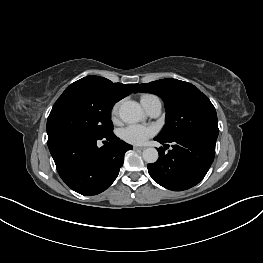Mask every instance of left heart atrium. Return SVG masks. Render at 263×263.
Wrapping results in <instances>:
<instances>
[{"instance_id": "left-heart-atrium-1", "label": "left heart atrium", "mask_w": 263, "mask_h": 263, "mask_svg": "<svg viewBox=\"0 0 263 263\" xmlns=\"http://www.w3.org/2000/svg\"><path fill=\"white\" fill-rule=\"evenodd\" d=\"M155 133L152 126L131 124L121 131L122 139L130 144L140 145L145 143Z\"/></svg>"}]
</instances>
